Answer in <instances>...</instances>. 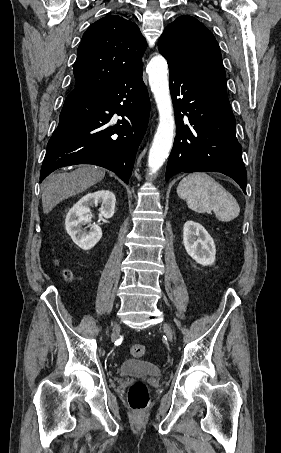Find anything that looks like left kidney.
Masks as SVG:
<instances>
[{
	"label": "left kidney",
	"mask_w": 281,
	"mask_h": 453,
	"mask_svg": "<svg viewBox=\"0 0 281 453\" xmlns=\"http://www.w3.org/2000/svg\"><path fill=\"white\" fill-rule=\"evenodd\" d=\"M183 245L188 255L196 263H200V265H213L215 263V243L200 222H195V220L185 222Z\"/></svg>",
	"instance_id": "left-kidney-1"
}]
</instances>
